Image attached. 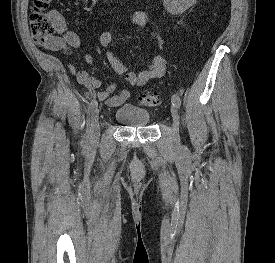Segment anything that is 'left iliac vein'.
Listing matches in <instances>:
<instances>
[{
  "label": "left iliac vein",
  "instance_id": "obj_1",
  "mask_svg": "<svg viewBox=\"0 0 275 263\" xmlns=\"http://www.w3.org/2000/svg\"><path fill=\"white\" fill-rule=\"evenodd\" d=\"M171 115L173 118V131L175 135V139L177 138V132L179 130V113L176 106L171 107Z\"/></svg>",
  "mask_w": 275,
  "mask_h": 263
}]
</instances>
